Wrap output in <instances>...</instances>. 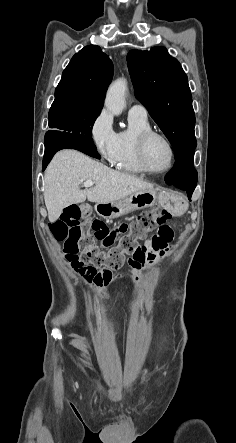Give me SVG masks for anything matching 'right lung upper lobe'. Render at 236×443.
Listing matches in <instances>:
<instances>
[{"mask_svg": "<svg viewBox=\"0 0 236 443\" xmlns=\"http://www.w3.org/2000/svg\"><path fill=\"white\" fill-rule=\"evenodd\" d=\"M113 78V63L97 45L76 53L62 73L52 105L67 104L101 110L105 92Z\"/></svg>", "mask_w": 236, "mask_h": 443, "instance_id": "obj_1", "label": "right lung upper lobe"}]
</instances>
